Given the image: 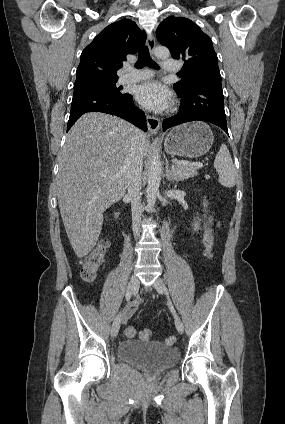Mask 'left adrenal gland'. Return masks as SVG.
<instances>
[{
	"instance_id": "a2214340",
	"label": "left adrenal gland",
	"mask_w": 285,
	"mask_h": 424,
	"mask_svg": "<svg viewBox=\"0 0 285 424\" xmlns=\"http://www.w3.org/2000/svg\"><path fill=\"white\" fill-rule=\"evenodd\" d=\"M165 176H166V179H167L168 181H172V171H171V169H170V167H169L168 160H166V170H165Z\"/></svg>"
}]
</instances>
